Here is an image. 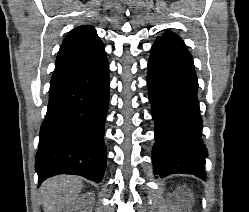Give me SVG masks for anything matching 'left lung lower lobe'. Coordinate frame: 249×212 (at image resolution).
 <instances>
[{"mask_svg":"<svg viewBox=\"0 0 249 212\" xmlns=\"http://www.w3.org/2000/svg\"><path fill=\"white\" fill-rule=\"evenodd\" d=\"M149 100L155 122L152 162L155 175L192 174L205 179V145L192 55L167 42H155L148 62Z\"/></svg>","mask_w":249,"mask_h":212,"instance_id":"obj_1","label":"left lung lower lobe"}]
</instances>
